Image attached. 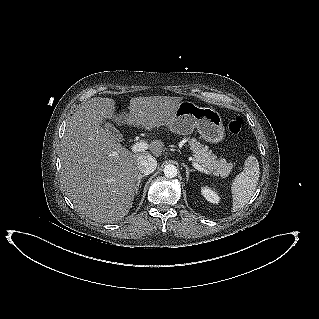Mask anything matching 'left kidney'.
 <instances>
[{
    "label": "left kidney",
    "mask_w": 319,
    "mask_h": 319,
    "mask_svg": "<svg viewBox=\"0 0 319 319\" xmlns=\"http://www.w3.org/2000/svg\"><path fill=\"white\" fill-rule=\"evenodd\" d=\"M201 193L204 196V198L207 201H209L210 203L217 204L219 202V196L214 191H212L210 188L203 187L201 189Z\"/></svg>",
    "instance_id": "1"
}]
</instances>
